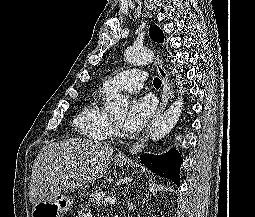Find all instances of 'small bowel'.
Returning a JSON list of instances; mask_svg holds the SVG:
<instances>
[{
  "label": "small bowel",
  "mask_w": 255,
  "mask_h": 217,
  "mask_svg": "<svg viewBox=\"0 0 255 217\" xmlns=\"http://www.w3.org/2000/svg\"><path fill=\"white\" fill-rule=\"evenodd\" d=\"M77 217H93L92 211L90 208H84L78 213Z\"/></svg>",
  "instance_id": "small-bowel-1"
}]
</instances>
